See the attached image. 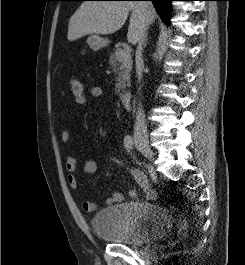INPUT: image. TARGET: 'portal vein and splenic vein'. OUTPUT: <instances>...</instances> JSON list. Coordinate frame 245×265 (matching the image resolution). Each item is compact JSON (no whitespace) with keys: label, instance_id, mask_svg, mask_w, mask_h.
<instances>
[{"label":"portal vein and splenic vein","instance_id":"portal-vein-and-splenic-vein-1","mask_svg":"<svg viewBox=\"0 0 245 265\" xmlns=\"http://www.w3.org/2000/svg\"><path fill=\"white\" fill-rule=\"evenodd\" d=\"M130 52H131V48L129 46H124V49L122 50L120 55L122 57H127L128 55H130Z\"/></svg>","mask_w":245,"mask_h":265}]
</instances>
